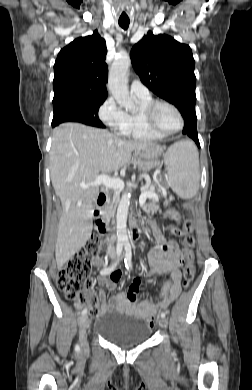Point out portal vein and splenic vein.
Returning <instances> with one entry per match:
<instances>
[{
    "instance_id": "obj_1",
    "label": "portal vein and splenic vein",
    "mask_w": 252,
    "mask_h": 390,
    "mask_svg": "<svg viewBox=\"0 0 252 390\" xmlns=\"http://www.w3.org/2000/svg\"><path fill=\"white\" fill-rule=\"evenodd\" d=\"M101 184H103L107 188H113V189H123V187H124V183L120 178L112 179V178H109L108 176L103 175V174L99 175L94 182L89 183V184L83 182V183H80V186L82 188H88L89 186H99ZM145 188H146V186L141 187L142 193L139 197L140 205H143L145 203V200L147 197L153 196L152 194L147 193L145 191Z\"/></svg>"
}]
</instances>
